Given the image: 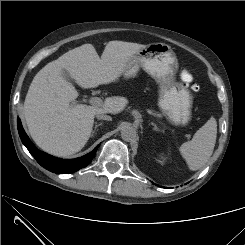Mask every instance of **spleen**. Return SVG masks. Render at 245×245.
<instances>
[{"mask_svg": "<svg viewBox=\"0 0 245 245\" xmlns=\"http://www.w3.org/2000/svg\"><path fill=\"white\" fill-rule=\"evenodd\" d=\"M217 137V122L211 117L197 132L191 141L180 147V153L190 170L201 169L211 157Z\"/></svg>", "mask_w": 245, "mask_h": 245, "instance_id": "3e777b00", "label": "spleen"}]
</instances>
